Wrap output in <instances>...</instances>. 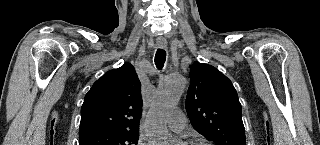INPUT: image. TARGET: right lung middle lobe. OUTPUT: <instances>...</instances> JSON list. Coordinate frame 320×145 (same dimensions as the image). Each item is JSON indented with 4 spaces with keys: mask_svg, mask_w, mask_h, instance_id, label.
<instances>
[{
    "mask_svg": "<svg viewBox=\"0 0 320 145\" xmlns=\"http://www.w3.org/2000/svg\"><path fill=\"white\" fill-rule=\"evenodd\" d=\"M139 131H103L79 137V145H137Z\"/></svg>",
    "mask_w": 320,
    "mask_h": 145,
    "instance_id": "right-lung-middle-lobe-1",
    "label": "right lung middle lobe"
}]
</instances>
